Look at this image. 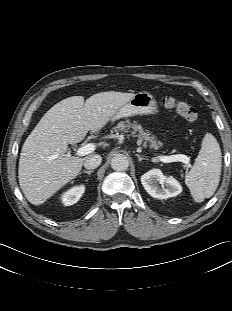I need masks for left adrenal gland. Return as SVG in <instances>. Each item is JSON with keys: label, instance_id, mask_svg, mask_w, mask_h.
Masks as SVG:
<instances>
[{"label": "left adrenal gland", "instance_id": "1", "mask_svg": "<svg viewBox=\"0 0 232 311\" xmlns=\"http://www.w3.org/2000/svg\"><path fill=\"white\" fill-rule=\"evenodd\" d=\"M136 156L138 157V161H142V160H148L147 158H144L143 156L136 154Z\"/></svg>", "mask_w": 232, "mask_h": 311}]
</instances>
